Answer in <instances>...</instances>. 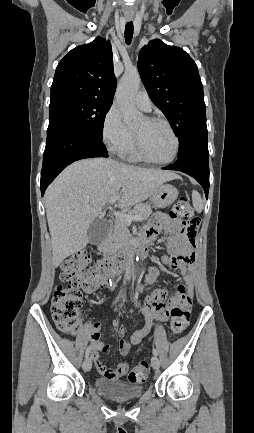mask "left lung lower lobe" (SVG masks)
Here are the masks:
<instances>
[{"mask_svg":"<svg viewBox=\"0 0 254 433\" xmlns=\"http://www.w3.org/2000/svg\"><path fill=\"white\" fill-rule=\"evenodd\" d=\"M163 169L177 170L184 172L195 178L203 187L206 198L209 191V152L208 147L195 148L182 156L178 160Z\"/></svg>","mask_w":254,"mask_h":433,"instance_id":"left-lung-lower-lobe-1","label":"left lung lower lobe"}]
</instances>
